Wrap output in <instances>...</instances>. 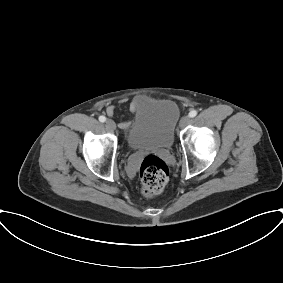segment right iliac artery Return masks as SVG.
I'll use <instances>...</instances> for the list:
<instances>
[{
	"label": "right iliac artery",
	"instance_id": "1",
	"mask_svg": "<svg viewBox=\"0 0 283 283\" xmlns=\"http://www.w3.org/2000/svg\"><path fill=\"white\" fill-rule=\"evenodd\" d=\"M99 121L100 122H105L106 121V117L105 116H100L99 117Z\"/></svg>",
	"mask_w": 283,
	"mask_h": 283
}]
</instances>
